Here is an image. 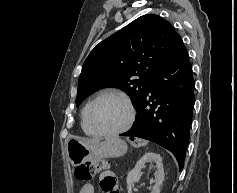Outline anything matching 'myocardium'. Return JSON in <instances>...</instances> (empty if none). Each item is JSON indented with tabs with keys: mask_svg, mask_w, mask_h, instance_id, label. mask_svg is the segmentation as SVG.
Segmentation results:
<instances>
[{
	"mask_svg": "<svg viewBox=\"0 0 237 193\" xmlns=\"http://www.w3.org/2000/svg\"><path fill=\"white\" fill-rule=\"evenodd\" d=\"M104 97L116 98V99L120 100L125 105V107L127 108V110H128V119H127L126 124L123 127L119 128V129H116V130H113V131H103V130L98 129L94 125V123L92 121V118H91V113H92L93 106L96 104V102L98 100H100L101 98H104ZM86 118H87V122H88L90 128L97 135L107 136V137L108 136H118V135H121V134L127 132L133 126V124L135 122V119H136V109H135L134 105L132 104V102L130 101V99L127 98L125 95H123L121 93H118V92H114V91H106V92H102V93L98 94L88 104L87 112H86Z\"/></svg>",
	"mask_w": 237,
	"mask_h": 193,
	"instance_id": "obj_1",
	"label": "myocardium"
}]
</instances>
